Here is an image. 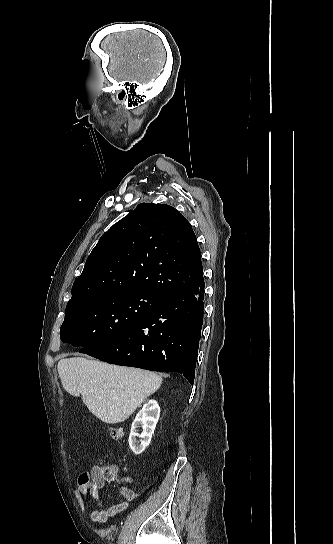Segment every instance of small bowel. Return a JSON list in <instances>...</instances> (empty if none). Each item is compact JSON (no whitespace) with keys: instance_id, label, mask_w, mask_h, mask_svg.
<instances>
[{"instance_id":"1","label":"small bowel","mask_w":333,"mask_h":544,"mask_svg":"<svg viewBox=\"0 0 333 544\" xmlns=\"http://www.w3.org/2000/svg\"><path fill=\"white\" fill-rule=\"evenodd\" d=\"M115 477L113 479L114 483L118 486V491L124 501L118 504L112 505L110 507H105L100 499V490L104 486V482L98 480V474L100 471L99 465H93L91 467V474L97 479L93 483H81L75 490L74 496L78 501V504L82 511L86 510L85 497L90 495L96 502V508L93 509L90 513V519L94 523H105L108 519L117 516L118 514L125 511L129 504L137 498V494L129 488L125 483L128 481V478H121L118 474V469L114 467Z\"/></svg>"}]
</instances>
